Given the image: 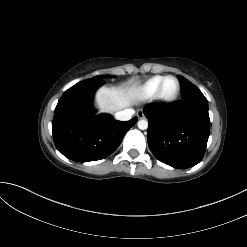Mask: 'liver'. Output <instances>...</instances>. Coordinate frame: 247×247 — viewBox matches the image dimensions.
<instances>
[{"label":"liver","instance_id":"1","mask_svg":"<svg viewBox=\"0 0 247 247\" xmlns=\"http://www.w3.org/2000/svg\"><path fill=\"white\" fill-rule=\"evenodd\" d=\"M138 95V83L126 88L101 87L96 92L100 112L113 113L130 106Z\"/></svg>","mask_w":247,"mask_h":247}]
</instances>
